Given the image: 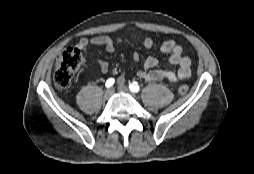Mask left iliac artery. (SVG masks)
<instances>
[{"instance_id": "left-iliac-artery-1", "label": "left iliac artery", "mask_w": 254, "mask_h": 174, "mask_svg": "<svg viewBox=\"0 0 254 174\" xmlns=\"http://www.w3.org/2000/svg\"><path fill=\"white\" fill-rule=\"evenodd\" d=\"M129 88L132 92H138L140 90V87L137 82H133L129 85Z\"/></svg>"}]
</instances>
